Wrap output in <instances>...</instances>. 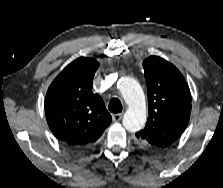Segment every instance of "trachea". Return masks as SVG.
<instances>
[{
	"label": "trachea",
	"mask_w": 223,
	"mask_h": 188,
	"mask_svg": "<svg viewBox=\"0 0 223 188\" xmlns=\"http://www.w3.org/2000/svg\"><path fill=\"white\" fill-rule=\"evenodd\" d=\"M108 109L112 113H120L122 111V104L118 98H112L109 102Z\"/></svg>",
	"instance_id": "1"
}]
</instances>
